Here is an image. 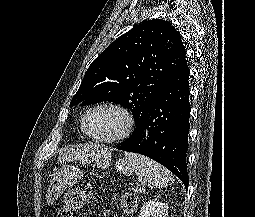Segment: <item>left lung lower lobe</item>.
<instances>
[{"label": "left lung lower lobe", "mask_w": 255, "mask_h": 217, "mask_svg": "<svg viewBox=\"0 0 255 217\" xmlns=\"http://www.w3.org/2000/svg\"><path fill=\"white\" fill-rule=\"evenodd\" d=\"M189 75L185 60L149 104L132 135L117 149L145 155L165 166L188 187Z\"/></svg>", "instance_id": "obj_1"}]
</instances>
